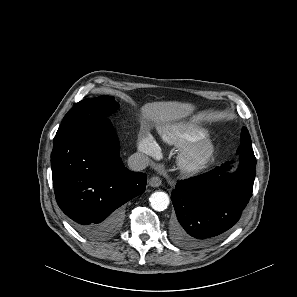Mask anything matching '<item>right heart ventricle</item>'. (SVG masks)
Returning a JSON list of instances; mask_svg holds the SVG:
<instances>
[{
    "mask_svg": "<svg viewBox=\"0 0 297 297\" xmlns=\"http://www.w3.org/2000/svg\"><path fill=\"white\" fill-rule=\"evenodd\" d=\"M206 130L197 124L184 122L173 124L161 130L162 139L169 145L181 146L206 137Z\"/></svg>",
    "mask_w": 297,
    "mask_h": 297,
    "instance_id": "obj_1",
    "label": "right heart ventricle"
}]
</instances>
